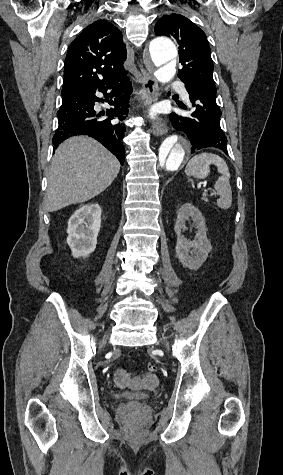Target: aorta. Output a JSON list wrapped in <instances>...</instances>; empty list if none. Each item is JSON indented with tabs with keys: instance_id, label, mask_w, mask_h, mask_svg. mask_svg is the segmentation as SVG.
Wrapping results in <instances>:
<instances>
[{
	"instance_id": "762f6f07",
	"label": "aorta",
	"mask_w": 283,
	"mask_h": 475,
	"mask_svg": "<svg viewBox=\"0 0 283 475\" xmlns=\"http://www.w3.org/2000/svg\"><path fill=\"white\" fill-rule=\"evenodd\" d=\"M150 57L158 68L155 76L159 82L167 83L176 73L173 61L177 57L175 44L165 37L153 39L149 45ZM191 145L183 135L168 136L160 145L155 159L154 172L158 177L177 171L190 155Z\"/></svg>"
}]
</instances>
